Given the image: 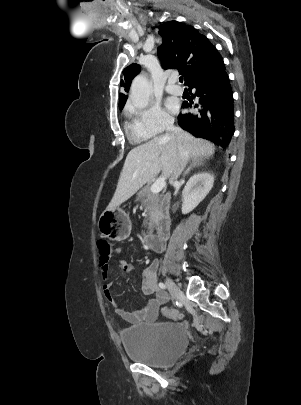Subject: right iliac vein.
<instances>
[{
    "label": "right iliac vein",
    "mask_w": 301,
    "mask_h": 405,
    "mask_svg": "<svg viewBox=\"0 0 301 405\" xmlns=\"http://www.w3.org/2000/svg\"><path fill=\"white\" fill-rule=\"evenodd\" d=\"M166 285L168 287L169 292L171 293L172 297L177 300L180 295H181V291L180 289L175 285V283L170 280L169 278H166Z\"/></svg>",
    "instance_id": "obj_1"
}]
</instances>
